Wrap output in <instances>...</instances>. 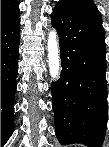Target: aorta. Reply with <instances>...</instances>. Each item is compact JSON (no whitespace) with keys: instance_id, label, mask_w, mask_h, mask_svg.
<instances>
[{"instance_id":"obj_1","label":"aorta","mask_w":109,"mask_h":147,"mask_svg":"<svg viewBox=\"0 0 109 147\" xmlns=\"http://www.w3.org/2000/svg\"><path fill=\"white\" fill-rule=\"evenodd\" d=\"M47 49L50 76L53 80H57L60 76V51L58 35L55 29H52L49 32Z\"/></svg>"}]
</instances>
